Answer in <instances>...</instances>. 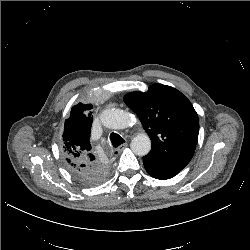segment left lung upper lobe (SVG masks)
Returning <instances> with one entry per match:
<instances>
[{
  "label": "left lung upper lobe",
  "mask_w": 250,
  "mask_h": 250,
  "mask_svg": "<svg viewBox=\"0 0 250 250\" xmlns=\"http://www.w3.org/2000/svg\"><path fill=\"white\" fill-rule=\"evenodd\" d=\"M124 102L151 139V151L144 157L183 169L193 157L199 134L198 115L190 101L173 87L153 84L146 93L127 94Z\"/></svg>",
  "instance_id": "5c2ea615"
}]
</instances>
